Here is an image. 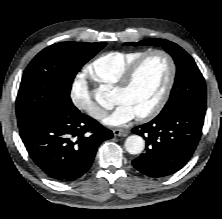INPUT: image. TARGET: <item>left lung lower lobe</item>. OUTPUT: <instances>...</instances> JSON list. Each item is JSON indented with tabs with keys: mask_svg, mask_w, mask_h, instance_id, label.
Masks as SVG:
<instances>
[{
	"mask_svg": "<svg viewBox=\"0 0 222 219\" xmlns=\"http://www.w3.org/2000/svg\"><path fill=\"white\" fill-rule=\"evenodd\" d=\"M206 109L188 104L170 107L132 132L146 140V152L132 161L150 177H163L180 170L191 158L202 134Z\"/></svg>",
	"mask_w": 222,
	"mask_h": 219,
	"instance_id": "left-lung-lower-lobe-1",
	"label": "left lung lower lobe"
}]
</instances>
